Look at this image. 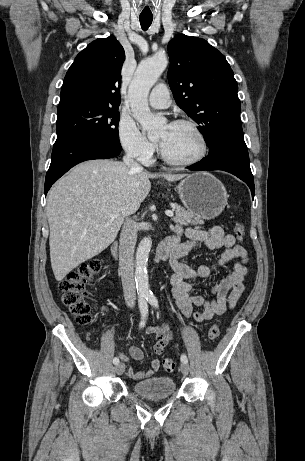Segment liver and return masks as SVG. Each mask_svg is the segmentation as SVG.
Wrapping results in <instances>:
<instances>
[{"instance_id": "obj_1", "label": "liver", "mask_w": 305, "mask_h": 461, "mask_svg": "<svg viewBox=\"0 0 305 461\" xmlns=\"http://www.w3.org/2000/svg\"><path fill=\"white\" fill-rule=\"evenodd\" d=\"M157 176L172 182L185 177L134 172L122 162L90 160L51 188L46 214L51 266L57 281L114 241L124 218L135 213L149 194V179Z\"/></svg>"}]
</instances>
